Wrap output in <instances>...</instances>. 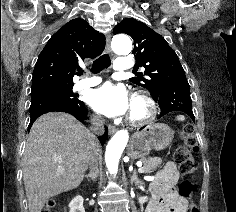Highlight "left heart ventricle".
I'll list each match as a JSON object with an SVG mask.
<instances>
[{"label": "left heart ventricle", "instance_id": "obj_1", "mask_svg": "<svg viewBox=\"0 0 236 212\" xmlns=\"http://www.w3.org/2000/svg\"><path fill=\"white\" fill-rule=\"evenodd\" d=\"M133 108H134V111H135V112H139V107H138V106H134ZM131 109H132V108H131Z\"/></svg>", "mask_w": 236, "mask_h": 212}]
</instances>
